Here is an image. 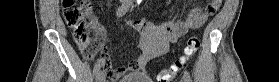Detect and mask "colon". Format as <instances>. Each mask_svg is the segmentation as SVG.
Returning a JSON list of instances; mask_svg holds the SVG:
<instances>
[{
	"instance_id": "obj_1",
	"label": "colon",
	"mask_w": 279,
	"mask_h": 82,
	"mask_svg": "<svg viewBox=\"0 0 279 82\" xmlns=\"http://www.w3.org/2000/svg\"><path fill=\"white\" fill-rule=\"evenodd\" d=\"M62 8V16L66 25L72 30L73 38L78 45L86 44L82 50L85 59H90L92 49L88 42V31L98 24L97 17L92 11L91 3L87 0H60ZM222 0H211L209 5L219 7ZM200 46V40L197 36L188 39V43L184 48V54L169 67L158 73V82H171L180 70L185 66L189 58L197 51Z\"/></svg>"
}]
</instances>
